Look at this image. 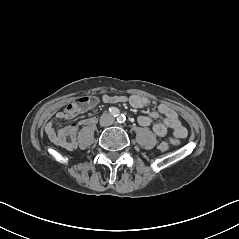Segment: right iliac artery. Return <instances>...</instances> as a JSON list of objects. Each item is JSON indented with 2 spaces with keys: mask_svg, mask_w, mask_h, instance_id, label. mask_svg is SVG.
I'll return each mask as SVG.
<instances>
[{
  "mask_svg": "<svg viewBox=\"0 0 239 239\" xmlns=\"http://www.w3.org/2000/svg\"><path fill=\"white\" fill-rule=\"evenodd\" d=\"M109 111H110V113H111L114 117H118V116H119V110H118V108H116V107H111V108L109 109Z\"/></svg>",
  "mask_w": 239,
  "mask_h": 239,
  "instance_id": "1",
  "label": "right iliac artery"
}]
</instances>
